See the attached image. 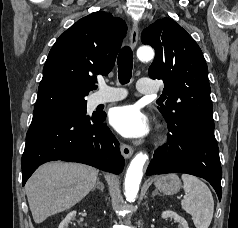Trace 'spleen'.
Listing matches in <instances>:
<instances>
[{
	"label": "spleen",
	"mask_w": 238,
	"mask_h": 228,
	"mask_svg": "<svg viewBox=\"0 0 238 228\" xmlns=\"http://www.w3.org/2000/svg\"><path fill=\"white\" fill-rule=\"evenodd\" d=\"M185 197L182 208L192 216L196 228H208L214 212V200L208 186L193 175L183 174Z\"/></svg>",
	"instance_id": "1"
}]
</instances>
